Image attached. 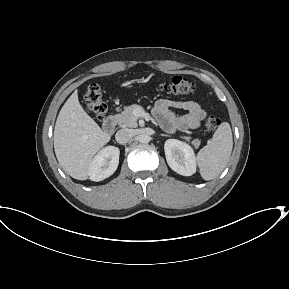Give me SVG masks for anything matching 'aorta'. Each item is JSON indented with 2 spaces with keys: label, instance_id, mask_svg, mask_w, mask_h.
<instances>
[{
  "label": "aorta",
  "instance_id": "1",
  "mask_svg": "<svg viewBox=\"0 0 289 289\" xmlns=\"http://www.w3.org/2000/svg\"><path fill=\"white\" fill-rule=\"evenodd\" d=\"M138 139L140 143L147 144L150 142L151 138L148 134H141Z\"/></svg>",
  "mask_w": 289,
  "mask_h": 289
}]
</instances>
